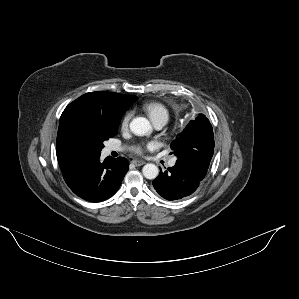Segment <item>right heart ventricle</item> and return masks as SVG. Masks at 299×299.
Here are the masks:
<instances>
[{
    "mask_svg": "<svg viewBox=\"0 0 299 299\" xmlns=\"http://www.w3.org/2000/svg\"><path fill=\"white\" fill-rule=\"evenodd\" d=\"M143 109L153 123L162 118H165L167 120L169 118L168 109L159 102H147L143 105Z\"/></svg>",
    "mask_w": 299,
    "mask_h": 299,
    "instance_id": "right-heart-ventricle-1",
    "label": "right heart ventricle"
}]
</instances>
